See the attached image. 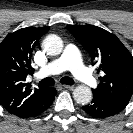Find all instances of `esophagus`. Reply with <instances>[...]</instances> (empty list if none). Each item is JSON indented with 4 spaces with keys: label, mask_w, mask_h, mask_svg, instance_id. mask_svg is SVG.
<instances>
[{
    "label": "esophagus",
    "mask_w": 133,
    "mask_h": 133,
    "mask_svg": "<svg viewBox=\"0 0 133 133\" xmlns=\"http://www.w3.org/2000/svg\"><path fill=\"white\" fill-rule=\"evenodd\" d=\"M65 89H69V90H72V89H74V86L73 85H66V84H64V85H62Z\"/></svg>",
    "instance_id": "34e87169"
}]
</instances>
